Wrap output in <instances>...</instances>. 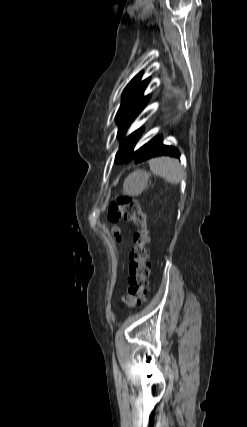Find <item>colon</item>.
Masks as SVG:
<instances>
[{
    "label": "colon",
    "instance_id": "colon-1",
    "mask_svg": "<svg viewBox=\"0 0 247 427\" xmlns=\"http://www.w3.org/2000/svg\"><path fill=\"white\" fill-rule=\"evenodd\" d=\"M107 219L113 225L112 232L119 238L116 224L120 220L133 222L139 229L134 236L135 247L130 253L129 279L123 303L128 308L139 307L146 299L150 275L148 244L150 241L147 215L132 197L122 196L113 201L107 210Z\"/></svg>",
    "mask_w": 247,
    "mask_h": 427
}]
</instances>
